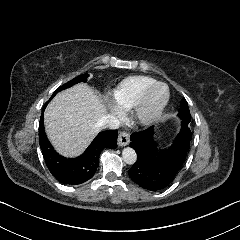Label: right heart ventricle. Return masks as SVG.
<instances>
[{
    "mask_svg": "<svg viewBox=\"0 0 240 240\" xmlns=\"http://www.w3.org/2000/svg\"><path fill=\"white\" fill-rule=\"evenodd\" d=\"M155 83L154 79L143 76L126 78L108 92L106 101L112 110H129L136 106L145 90Z\"/></svg>",
    "mask_w": 240,
    "mask_h": 240,
    "instance_id": "1",
    "label": "right heart ventricle"
}]
</instances>
